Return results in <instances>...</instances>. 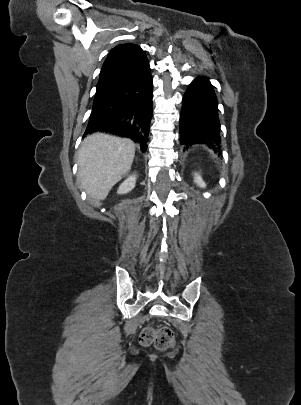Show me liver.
<instances>
[{
    "label": "liver",
    "mask_w": 301,
    "mask_h": 405,
    "mask_svg": "<svg viewBox=\"0 0 301 405\" xmlns=\"http://www.w3.org/2000/svg\"><path fill=\"white\" fill-rule=\"evenodd\" d=\"M135 144L105 133L87 136L78 151L81 187L96 200H104L133 163Z\"/></svg>",
    "instance_id": "obj_1"
}]
</instances>
